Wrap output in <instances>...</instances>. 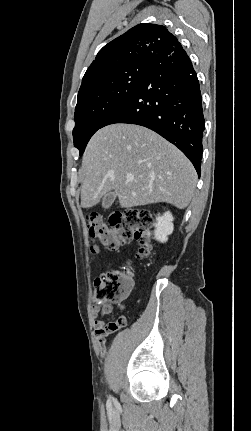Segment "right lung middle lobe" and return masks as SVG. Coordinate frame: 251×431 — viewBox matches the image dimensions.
I'll list each match as a JSON object with an SVG mask.
<instances>
[{
    "instance_id": "obj_1",
    "label": "right lung middle lobe",
    "mask_w": 251,
    "mask_h": 431,
    "mask_svg": "<svg viewBox=\"0 0 251 431\" xmlns=\"http://www.w3.org/2000/svg\"><path fill=\"white\" fill-rule=\"evenodd\" d=\"M148 64H133L79 91L75 108L74 146L80 156L92 135L136 90Z\"/></svg>"
}]
</instances>
